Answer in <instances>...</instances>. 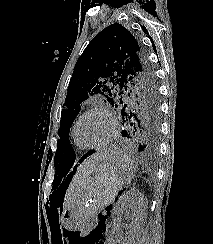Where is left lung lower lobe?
I'll return each mask as SVG.
<instances>
[{
    "label": "left lung lower lobe",
    "instance_id": "0a47b994",
    "mask_svg": "<svg viewBox=\"0 0 213 244\" xmlns=\"http://www.w3.org/2000/svg\"><path fill=\"white\" fill-rule=\"evenodd\" d=\"M121 117L124 127L121 132L122 137L127 139L136 151L141 152L145 156H156L158 152L159 126H153L152 124L141 125L131 120V118L129 117ZM93 153L94 151L87 152L84 156L81 157L80 163ZM73 164L74 162L72 163V165ZM76 168L77 165L74 166L73 170H75Z\"/></svg>",
    "mask_w": 213,
    "mask_h": 244
}]
</instances>
